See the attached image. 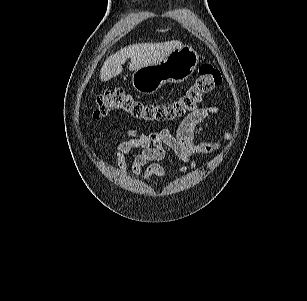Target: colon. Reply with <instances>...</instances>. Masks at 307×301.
Listing matches in <instances>:
<instances>
[{"instance_id": "5ec220e1", "label": "colon", "mask_w": 307, "mask_h": 301, "mask_svg": "<svg viewBox=\"0 0 307 301\" xmlns=\"http://www.w3.org/2000/svg\"><path fill=\"white\" fill-rule=\"evenodd\" d=\"M220 71L209 63L202 64L199 75L186 90L171 103L143 101L122 89H111L96 99V116L122 112L130 118L147 123H169L187 118L198 108L205 96L221 84Z\"/></svg>"}]
</instances>
